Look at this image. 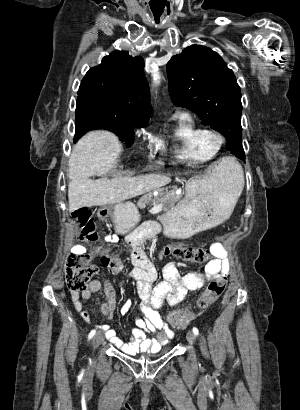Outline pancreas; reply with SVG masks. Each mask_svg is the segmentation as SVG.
Listing matches in <instances>:
<instances>
[{
    "instance_id": "obj_1",
    "label": "pancreas",
    "mask_w": 300,
    "mask_h": 410,
    "mask_svg": "<svg viewBox=\"0 0 300 410\" xmlns=\"http://www.w3.org/2000/svg\"><path fill=\"white\" fill-rule=\"evenodd\" d=\"M181 197L182 195L176 194L174 190L165 192L160 190L157 196H154L153 193L144 195L138 202V206L145 207L148 204L157 205L162 203V207L167 210L173 208L180 201Z\"/></svg>"
}]
</instances>
